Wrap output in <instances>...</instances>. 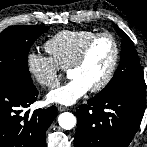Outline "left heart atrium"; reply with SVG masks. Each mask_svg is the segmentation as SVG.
I'll list each match as a JSON object with an SVG mask.
<instances>
[{"mask_svg": "<svg viewBox=\"0 0 147 147\" xmlns=\"http://www.w3.org/2000/svg\"><path fill=\"white\" fill-rule=\"evenodd\" d=\"M89 87L80 79L72 78L67 83L51 90L46 100L48 103L59 105H73L82 98Z\"/></svg>", "mask_w": 147, "mask_h": 147, "instance_id": "39dd6f15", "label": "left heart atrium"}]
</instances>
